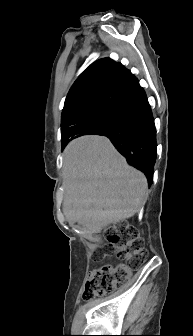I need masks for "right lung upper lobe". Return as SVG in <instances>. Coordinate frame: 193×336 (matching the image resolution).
<instances>
[{"label":"right lung upper lobe","mask_w":193,"mask_h":336,"mask_svg":"<svg viewBox=\"0 0 193 336\" xmlns=\"http://www.w3.org/2000/svg\"><path fill=\"white\" fill-rule=\"evenodd\" d=\"M134 80L135 77L129 70L109 58L100 59L89 66L67 95L62 112V147L83 135L71 131L76 121L102 110H112Z\"/></svg>","instance_id":"cb5924a9"}]
</instances>
